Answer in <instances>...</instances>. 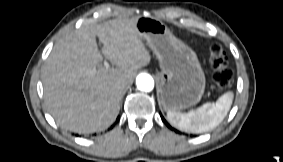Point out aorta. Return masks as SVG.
<instances>
[{"label":"aorta","instance_id":"aorta-1","mask_svg":"<svg viewBox=\"0 0 283 162\" xmlns=\"http://www.w3.org/2000/svg\"><path fill=\"white\" fill-rule=\"evenodd\" d=\"M136 85L140 91L150 92L154 88V80L151 75L141 73L136 78Z\"/></svg>","mask_w":283,"mask_h":162}]
</instances>
